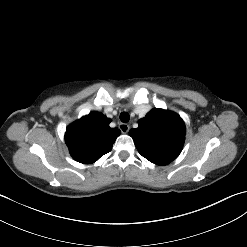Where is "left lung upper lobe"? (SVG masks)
<instances>
[{"label": "left lung upper lobe", "mask_w": 247, "mask_h": 247, "mask_svg": "<svg viewBox=\"0 0 247 247\" xmlns=\"http://www.w3.org/2000/svg\"><path fill=\"white\" fill-rule=\"evenodd\" d=\"M131 129L139 153L157 165H167L178 157L185 140V124L174 112L152 109Z\"/></svg>", "instance_id": "obj_1"}]
</instances>
